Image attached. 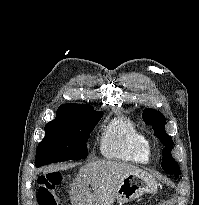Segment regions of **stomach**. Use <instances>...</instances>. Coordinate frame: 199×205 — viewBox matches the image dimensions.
<instances>
[{
    "label": "stomach",
    "mask_w": 199,
    "mask_h": 205,
    "mask_svg": "<svg viewBox=\"0 0 199 205\" xmlns=\"http://www.w3.org/2000/svg\"><path fill=\"white\" fill-rule=\"evenodd\" d=\"M156 191L157 183L150 174L146 172L133 173L126 175L120 182L116 199L119 205H123L143 193H155Z\"/></svg>",
    "instance_id": "1"
}]
</instances>
